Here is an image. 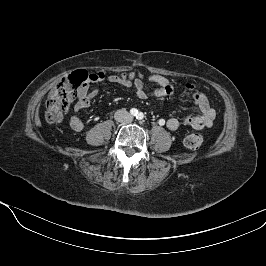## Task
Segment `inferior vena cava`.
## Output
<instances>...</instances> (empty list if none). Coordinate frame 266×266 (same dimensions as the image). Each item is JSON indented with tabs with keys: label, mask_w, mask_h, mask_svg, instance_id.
I'll return each mask as SVG.
<instances>
[{
	"label": "inferior vena cava",
	"mask_w": 266,
	"mask_h": 266,
	"mask_svg": "<svg viewBox=\"0 0 266 266\" xmlns=\"http://www.w3.org/2000/svg\"><path fill=\"white\" fill-rule=\"evenodd\" d=\"M114 118L118 122L129 123L132 121L133 117L126 109H119L115 112Z\"/></svg>",
	"instance_id": "obj_1"
}]
</instances>
